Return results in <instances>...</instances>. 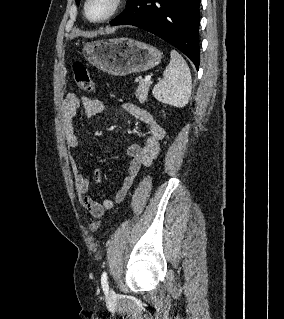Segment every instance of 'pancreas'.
Returning a JSON list of instances; mask_svg holds the SVG:
<instances>
[{
  "label": "pancreas",
  "instance_id": "1",
  "mask_svg": "<svg viewBox=\"0 0 284 319\" xmlns=\"http://www.w3.org/2000/svg\"><path fill=\"white\" fill-rule=\"evenodd\" d=\"M151 83L150 82H145L141 80L139 82V86L136 89V98L140 103H144L147 101V96H148V91Z\"/></svg>",
  "mask_w": 284,
  "mask_h": 319
}]
</instances>
